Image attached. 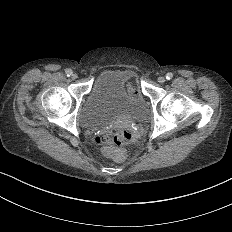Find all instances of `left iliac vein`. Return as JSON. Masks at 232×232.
I'll use <instances>...</instances> for the list:
<instances>
[{
    "mask_svg": "<svg viewBox=\"0 0 232 232\" xmlns=\"http://www.w3.org/2000/svg\"><path fill=\"white\" fill-rule=\"evenodd\" d=\"M158 82L159 83H164L165 82V77L164 76H159L158 77Z\"/></svg>",
    "mask_w": 232,
    "mask_h": 232,
    "instance_id": "4c4485c4",
    "label": "left iliac vein"
}]
</instances>
